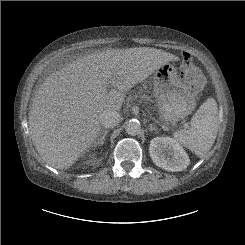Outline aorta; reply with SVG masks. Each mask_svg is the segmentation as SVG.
<instances>
[{"label": "aorta", "instance_id": "1", "mask_svg": "<svg viewBox=\"0 0 245 245\" xmlns=\"http://www.w3.org/2000/svg\"><path fill=\"white\" fill-rule=\"evenodd\" d=\"M125 130H126V133L131 136L138 135L141 131L140 122L137 120L128 121L126 124Z\"/></svg>", "mask_w": 245, "mask_h": 245}]
</instances>
